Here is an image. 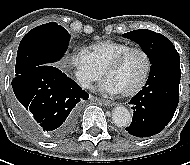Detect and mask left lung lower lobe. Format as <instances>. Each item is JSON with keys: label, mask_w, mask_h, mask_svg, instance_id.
I'll return each instance as SVG.
<instances>
[{"label": "left lung lower lobe", "mask_w": 190, "mask_h": 165, "mask_svg": "<svg viewBox=\"0 0 190 165\" xmlns=\"http://www.w3.org/2000/svg\"><path fill=\"white\" fill-rule=\"evenodd\" d=\"M180 77L178 53L151 64L146 85L129 102L134 110L132 123L126 128L129 134L149 137L165 128L178 105Z\"/></svg>", "instance_id": "1"}]
</instances>
